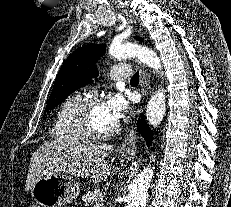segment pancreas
Returning a JSON list of instances; mask_svg holds the SVG:
<instances>
[{
    "instance_id": "obj_1",
    "label": "pancreas",
    "mask_w": 231,
    "mask_h": 207,
    "mask_svg": "<svg viewBox=\"0 0 231 207\" xmlns=\"http://www.w3.org/2000/svg\"><path fill=\"white\" fill-rule=\"evenodd\" d=\"M104 198V192L101 189H95L86 192V194L82 197L81 204L85 207H89L90 205L101 203Z\"/></svg>"
}]
</instances>
